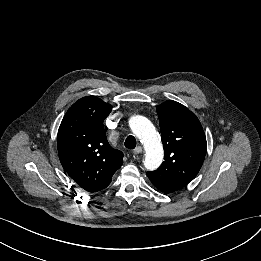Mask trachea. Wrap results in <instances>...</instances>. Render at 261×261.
Segmentation results:
<instances>
[{"label":"trachea","instance_id":"trachea-1","mask_svg":"<svg viewBox=\"0 0 261 261\" xmlns=\"http://www.w3.org/2000/svg\"><path fill=\"white\" fill-rule=\"evenodd\" d=\"M125 147L127 149H134L136 147V139L134 136L130 135L126 138Z\"/></svg>","mask_w":261,"mask_h":261}]
</instances>
